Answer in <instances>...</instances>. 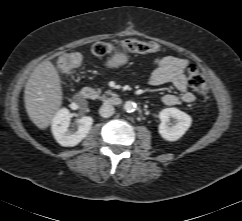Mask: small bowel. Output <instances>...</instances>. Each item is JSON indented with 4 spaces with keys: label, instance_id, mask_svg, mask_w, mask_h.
I'll return each mask as SVG.
<instances>
[{
    "label": "small bowel",
    "instance_id": "c3829d8e",
    "mask_svg": "<svg viewBox=\"0 0 242 221\" xmlns=\"http://www.w3.org/2000/svg\"><path fill=\"white\" fill-rule=\"evenodd\" d=\"M188 61L175 56H165L154 61V67L149 75L148 82L152 86L172 84L179 92L180 97L175 94H165L162 101L167 106L177 105L180 101L193 103L195 96L188 90L185 71Z\"/></svg>",
    "mask_w": 242,
    "mask_h": 221
}]
</instances>
